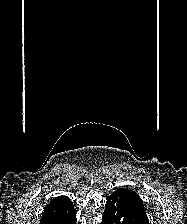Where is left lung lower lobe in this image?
<instances>
[{
    "instance_id": "1",
    "label": "left lung lower lobe",
    "mask_w": 187,
    "mask_h": 224,
    "mask_svg": "<svg viewBox=\"0 0 187 224\" xmlns=\"http://www.w3.org/2000/svg\"><path fill=\"white\" fill-rule=\"evenodd\" d=\"M102 224H149L146 212L123 190L114 191L107 199Z\"/></svg>"
}]
</instances>
